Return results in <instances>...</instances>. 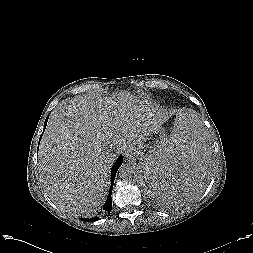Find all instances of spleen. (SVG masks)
<instances>
[{"label":"spleen","instance_id":"1","mask_svg":"<svg viewBox=\"0 0 253 253\" xmlns=\"http://www.w3.org/2000/svg\"><path fill=\"white\" fill-rule=\"evenodd\" d=\"M207 135L206 121L198 113L176 115L153 158L140 170L142 189L162 204L178 203L203 191L214 169Z\"/></svg>","mask_w":253,"mask_h":253}]
</instances>
